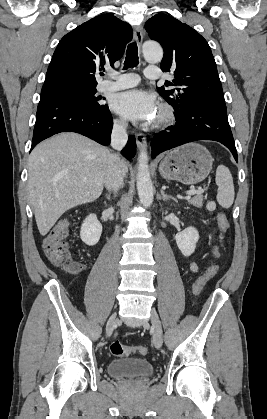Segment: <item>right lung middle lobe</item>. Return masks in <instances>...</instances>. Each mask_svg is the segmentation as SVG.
I'll use <instances>...</instances> for the list:
<instances>
[{
    "mask_svg": "<svg viewBox=\"0 0 267 419\" xmlns=\"http://www.w3.org/2000/svg\"><path fill=\"white\" fill-rule=\"evenodd\" d=\"M52 93L74 99L75 101L91 109H98L105 106V104L99 102V100H101V97L95 96L96 87L68 85Z\"/></svg>",
    "mask_w": 267,
    "mask_h": 419,
    "instance_id": "dd1d6c3e",
    "label": "right lung middle lobe"
}]
</instances>
